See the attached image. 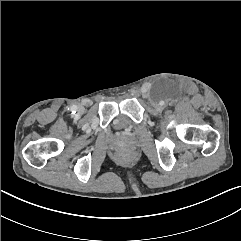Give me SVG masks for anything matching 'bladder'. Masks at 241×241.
Listing matches in <instances>:
<instances>
[{"label": "bladder", "mask_w": 241, "mask_h": 241, "mask_svg": "<svg viewBox=\"0 0 241 241\" xmlns=\"http://www.w3.org/2000/svg\"><path fill=\"white\" fill-rule=\"evenodd\" d=\"M130 124L129 119L126 116L123 115H118L115 119H114V126L118 129H122L127 127Z\"/></svg>", "instance_id": "31cf9c89"}]
</instances>
